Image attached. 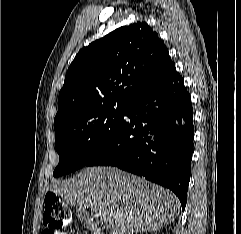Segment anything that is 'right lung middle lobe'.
<instances>
[{"mask_svg": "<svg viewBox=\"0 0 241 234\" xmlns=\"http://www.w3.org/2000/svg\"><path fill=\"white\" fill-rule=\"evenodd\" d=\"M127 104H106L86 112L75 123L55 131L59 163L54 177L69 174L87 163L108 143L121 124Z\"/></svg>", "mask_w": 241, "mask_h": 234, "instance_id": "obj_1", "label": "right lung middle lobe"}]
</instances>
